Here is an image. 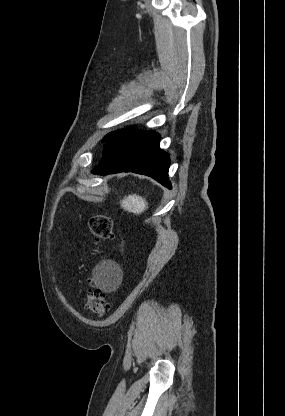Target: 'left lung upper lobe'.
I'll return each instance as SVG.
<instances>
[{
    "label": "left lung upper lobe",
    "instance_id": "left-lung-upper-lobe-1",
    "mask_svg": "<svg viewBox=\"0 0 285 416\" xmlns=\"http://www.w3.org/2000/svg\"><path fill=\"white\" fill-rule=\"evenodd\" d=\"M114 133H115V132H111V133L107 134V135L104 137L103 141H106V140H107L109 137H111Z\"/></svg>",
    "mask_w": 285,
    "mask_h": 416
}]
</instances>
